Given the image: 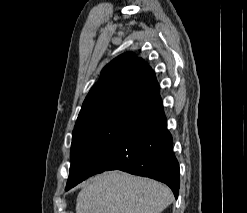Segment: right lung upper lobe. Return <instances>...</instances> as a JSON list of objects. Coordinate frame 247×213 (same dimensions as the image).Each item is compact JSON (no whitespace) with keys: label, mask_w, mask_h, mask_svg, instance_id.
<instances>
[{"label":"right lung upper lobe","mask_w":247,"mask_h":213,"mask_svg":"<svg viewBox=\"0 0 247 213\" xmlns=\"http://www.w3.org/2000/svg\"><path fill=\"white\" fill-rule=\"evenodd\" d=\"M158 92L159 85L151 67L134 53H124L104 67L100 80L83 102L75 127L105 110L132 104Z\"/></svg>","instance_id":"1"}]
</instances>
